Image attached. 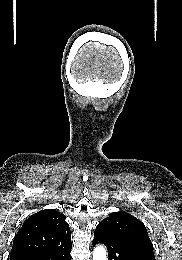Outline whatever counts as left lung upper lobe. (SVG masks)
<instances>
[{
  "mask_svg": "<svg viewBox=\"0 0 182 260\" xmlns=\"http://www.w3.org/2000/svg\"><path fill=\"white\" fill-rule=\"evenodd\" d=\"M97 228L119 234L152 249L145 225L124 211L111 213L108 218L97 225Z\"/></svg>",
  "mask_w": 182,
  "mask_h": 260,
  "instance_id": "5c2ea615",
  "label": "left lung upper lobe"
}]
</instances>
